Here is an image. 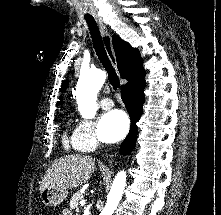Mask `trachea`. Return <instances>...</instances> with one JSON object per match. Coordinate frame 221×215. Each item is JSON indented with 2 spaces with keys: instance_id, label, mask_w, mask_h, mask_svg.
I'll use <instances>...</instances> for the list:
<instances>
[{
  "instance_id": "trachea-1",
  "label": "trachea",
  "mask_w": 221,
  "mask_h": 215,
  "mask_svg": "<svg viewBox=\"0 0 221 215\" xmlns=\"http://www.w3.org/2000/svg\"><path fill=\"white\" fill-rule=\"evenodd\" d=\"M86 22L90 31L96 55L98 56L100 62L107 71L108 79L113 89L118 90L120 88V81L115 69L112 67L111 62L107 56L97 23L94 19H86Z\"/></svg>"
}]
</instances>
